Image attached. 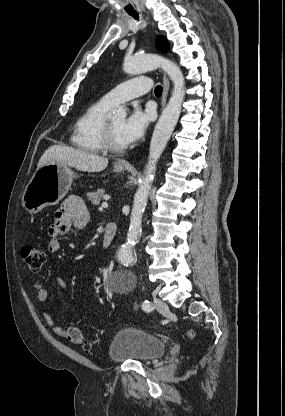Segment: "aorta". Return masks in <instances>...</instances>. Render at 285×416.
Here are the masks:
<instances>
[{
	"mask_svg": "<svg viewBox=\"0 0 285 416\" xmlns=\"http://www.w3.org/2000/svg\"><path fill=\"white\" fill-rule=\"evenodd\" d=\"M156 68H162L167 73L174 87L169 102L155 126L150 142L145 175L134 196L127 242L118 252V258L124 266L132 265L135 261L133 247L141 232L142 217L147 205L148 194L154 179L158 159L163 153L181 113V106L185 96V82L183 74L176 64L155 54L126 57L123 64L124 71L131 75L141 74ZM111 116L126 117V109L121 107L113 111Z\"/></svg>",
	"mask_w": 285,
	"mask_h": 416,
	"instance_id": "obj_1",
	"label": "aorta"
}]
</instances>
